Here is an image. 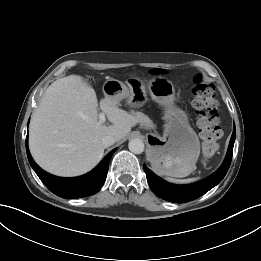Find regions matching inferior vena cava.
Here are the masks:
<instances>
[{
    "mask_svg": "<svg viewBox=\"0 0 261 261\" xmlns=\"http://www.w3.org/2000/svg\"><path fill=\"white\" fill-rule=\"evenodd\" d=\"M115 142L116 138L112 135H106L101 139V143L105 148L113 145Z\"/></svg>",
    "mask_w": 261,
    "mask_h": 261,
    "instance_id": "602c4592",
    "label": "inferior vena cava"
}]
</instances>
